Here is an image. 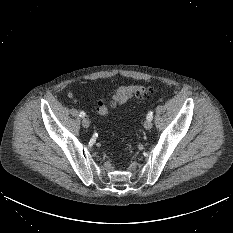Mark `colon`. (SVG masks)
Masks as SVG:
<instances>
[{"label":"colon","instance_id":"1","mask_svg":"<svg viewBox=\"0 0 233 233\" xmlns=\"http://www.w3.org/2000/svg\"><path fill=\"white\" fill-rule=\"evenodd\" d=\"M151 92L150 88L144 85H125L116 89L111 99L101 98L97 103V113L100 116H107L111 110L126 103L133 97L144 98Z\"/></svg>","mask_w":233,"mask_h":233}]
</instances>
